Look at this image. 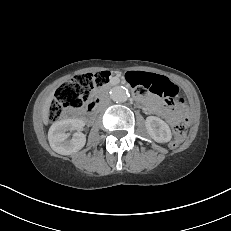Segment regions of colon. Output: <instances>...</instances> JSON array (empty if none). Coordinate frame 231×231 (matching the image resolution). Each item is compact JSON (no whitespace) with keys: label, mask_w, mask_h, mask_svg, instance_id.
Instances as JSON below:
<instances>
[{"label":"colon","mask_w":231,"mask_h":231,"mask_svg":"<svg viewBox=\"0 0 231 231\" xmlns=\"http://www.w3.org/2000/svg\"><path fill=\"white\" fill-rule=\"evenodd\" d=\"M134 80L140 79V76H132ZM110 79L108 71H100L95 73H86L75 76L69 81L63 83L57 90L55 98L51 102L48 109V119L50 121L58 120L67 109H78L91 97L92 93L105 86ZM137 87L136 83H132ZM176 96V90L168 95L171 99ZM175 141L171 144L176 147L183 140L186 134V122L184 120L177 121L174 129Z\"/></svg>","instance_id":"1"}]
</instances>
